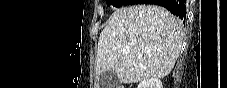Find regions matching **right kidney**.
I'll return each mask as SVG.
<instances>
[{"label":"right kidney","instance_id":"ca27d5eb","mask_svg":"<svg viewBox=\"0 0 227 88\" xmlns=\"http://www.w3.org/2000/svg\"><path fill=\"white\" fill-rule=\"evenodd\" d=\"M138 88H163L162 82L158 78H149L141 81Z\"/></svg>","mask_w":227,"mask_h":88}]
</instances>
